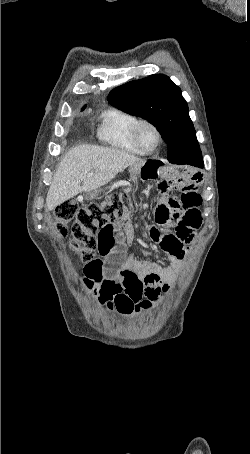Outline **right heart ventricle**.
<instances>
[{
	"instance_id": "1",
	"label": "right heart ventricle",
	"mask_w": 250,
	"mask_h": 454,
	"mask_svg": "<svg viewBox=\"0 0 250 454\" xmlns=\"http://www.w3.org/2000/svg\"><path fill=\"white\" fill-rule=\"evenodd\" d=\"M137 117L119 108H110L101 116L97 129V137L109 146L128 152L142 155L143 152L135 145L132 131Z\"/></svg>"
}]
</instances>
